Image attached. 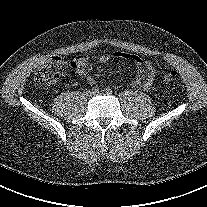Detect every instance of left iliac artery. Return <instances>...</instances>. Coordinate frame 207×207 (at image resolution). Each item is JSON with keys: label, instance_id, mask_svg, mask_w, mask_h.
Segmentation results:
<instances>
[{"label": "left iliac artery", "instance_id": "44dca946", "mask_svg": "<svg viewBox=\"0 0 207 207\" xmlns=\"http://www.w3.org/2000/svg\"><path fill=\"white\" fill-rule=\"evenodd\" d=\"M105 92H106L107 94H112L113 91H112L111 88L108 87V88H106Z\"/></svg>", "mask_w": 207, "mask_h": 207}]
</instances>
